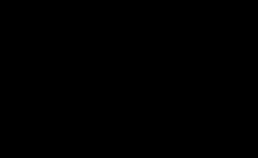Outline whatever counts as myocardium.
<instances>
[{
	"label": "myocardium",
	"instance_id": "myocardium-1",
	"mask_svg": "<svg viewBox=\"0 0 258 158\" xmlns=\"http://www.w3.org/2000/svg\"><path fill=\"white\" fill-rule=\"evenodd\" d=\"M163 44H164V43H160V44H158V45H156V46L150 48L149 50H147V51L143 54V56L141 57V59L139 60V62H138L137 64L143 62V61L146 59V57H147L148 55H150V54L153 53L154 51L158 50L160 47L163 46ZM168 45L170 46V48H172V50H173V52H174V57H175L174 63H173V65L171 66V68L168 70V72H167L163 77H161L160 79H157V80H152V81H153V82H152L153 84H162V83L166 82V81L172 76V74L175 72V70H176V68H177V66H178V63H179V55H178V52H177V50H176L171 44H168Z\"/></svg>",
	"mask_w": 258,
	"mask_h": 158
}]
</instances>
